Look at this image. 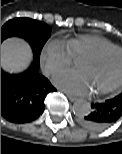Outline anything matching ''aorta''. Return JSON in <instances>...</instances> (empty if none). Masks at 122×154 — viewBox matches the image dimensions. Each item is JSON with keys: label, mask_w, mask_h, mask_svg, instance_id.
I'll return each instance as SVG.
<instances>
[{"label": "aorta", "mask_w": 122, "mask_h": 154, "mask_svg": "<svg viewBox=\"0 0 122 154\" xmlns=\"http://www.w3.org/2000/svg\"><path fill=\"white\" fill-rule=\"evenodd\" d=\"M91 111V105L88 101L79 99L73 104V112L78 117H84Z\"/></svg>", "instance_id": "762f6f07"}]
</instances>
